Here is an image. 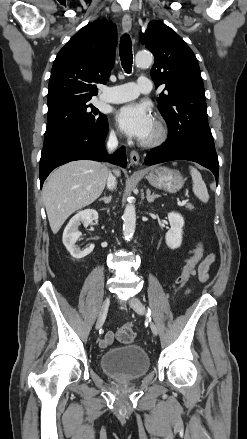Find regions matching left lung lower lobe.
Wrapping results in <instances>:
<instances>
[{
    "mask_svg": "<svg viewBox=\"0 0 247 439\" xmlns=\"http://www.w3.org/2000/svg\"><path fill=\"white\" fill-rule=\"evenodd\" d=\"M172 160H189L210 169L218 182V157L216 152L181 144L178 139L169 136L167 142L152 149L145 158L146 165H154Z\"/></svg>",
    "mask_w": 247,
    "mask_h": 439,
    "instance_id": "left-lung-lower-lobe-1",
    "label": "left lung lower lobe"
}]
</instances>
